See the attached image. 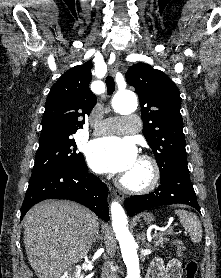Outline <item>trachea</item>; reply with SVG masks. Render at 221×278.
<instances>
[{
	"label": "trachea",
	"mask_w": 221,
	"mask_h": 278,
	"mask_svg": "<svg viewBox=\"0 0 221 278\" xmlns=\"http://www.w3.org/2000/svg\"><path fill=\"white\" fill-rule=\"evenodd\" d=\"M106 86H107V93L111 95L115 90V81L114 78L110 75L106 77Z\"/></svg>",
	"instance_id": "3493384b"
}]
</instances>
